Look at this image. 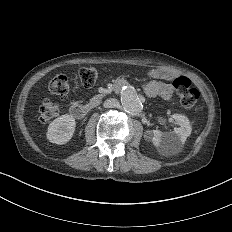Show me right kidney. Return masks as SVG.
<instances>
[{
    "label": "right kidney",
    "instance_id": "ca27d5eb",
    "mask_svg": "<svg viewBox=\"0 0 232 232\" xmlns=\"http://www.w3.org/2000/svg\"><path fill=\"white\" fill-rule=\"evenodd\" d=\"M74 128L75 120L70 115H62L49 125L47 137L51 142L63 144L72 137Z\"/></svg>",
    "mask_w": 232,
    "mask_h": 232
}]
</instances>
